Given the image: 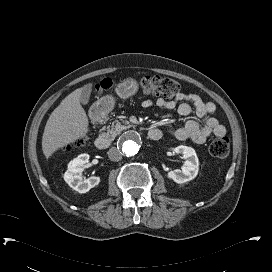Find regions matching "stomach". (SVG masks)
<instances>
[{
  "label": "stomach",
  "instance_id": "0dacf381",
  "mask_svg": "<svg viewBox=\"0 0 272 272\" xmlns=\"http://www.w3.org/2000/svg\"><path fill=\"white\" fill-rule=\"evenodd\" d=\"M115 91L120 98L127 99L137 93L138 83L133 78H127L117 85ZM100 102L102 105H104L107 111H111L115 104L114 98L111 96L102 98Z\"/></svg>",
  "mask_w": 272,
  "mask_h": 272
}]
</instances>
